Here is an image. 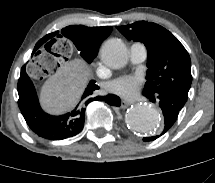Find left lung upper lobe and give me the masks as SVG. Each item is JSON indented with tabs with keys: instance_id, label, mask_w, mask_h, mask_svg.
Instances as JSON below:
<instances>
[{
	"instance_id": "left-lung-upper-lobe-1",
	"label": "left lung upper lobe",
	"mask_w": 215,
	"mask_h": 183,
	"mask_svg": "<svg viewBox=\"0 0 215 183\" xmlns=\"http://www.w3.org/2000/svg\"><path fill=\"white\" fill-rule=\"evenodd\" d=\"M127 39L143 42L148 51L143 94L171 93L187 101L191 87V60L179 40L155 23L138 21L117 28Z\"/></svg>"
}]
</instances>
